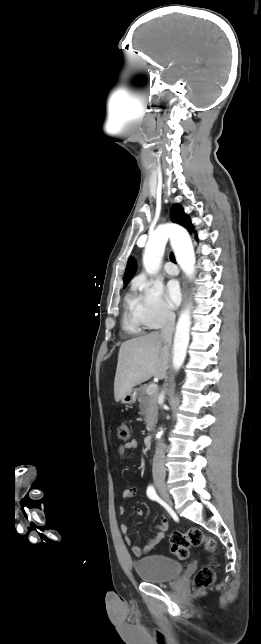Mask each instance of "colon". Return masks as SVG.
I'll use <instances>...</instances> for the list:
<instances>
[{"mask_svg": "<svg viewBox=\"0 0 261 644\" xmlns=\"http://www.w3.org/2000/svg\"><path fill=\"white\" fill-rule=\"evenodd\" d=\"M118 438L128 440L130 437L129 426L121 423L117 430ZM204 546L208 552L216 549V541L207 537L200 529L190 528L186 532H174L170 536V546L172 553L179 559H186L189 555L190 547ZM215 579L213 570L210 567H204L196 574L194 587L197 590L210 586Z\"/></svg>", "mask_w": 261, "mask_h": 644, "instance_id": "5ec220e1", "label": "colon"}]
</instances>
